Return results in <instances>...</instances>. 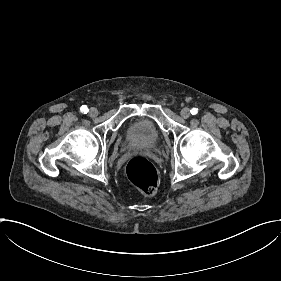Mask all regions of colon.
<instances>
[{
	"mask_svg": "<svg viewBox=\"0 0 281 281\" xmlns=\"http://www.w3.org/2000/svg\"><path fill=\"white\" fill-rule=\"evenodd\" d=\"M129 181L144 192H152L158 186V176L153 165L142 156H133L126 165Z\"/></svg>",
	"mask_w": 281,
	"mask_h": 281,
	"instance_id": "5ec220e1",
	"label": "colon"
}]
</instances>
